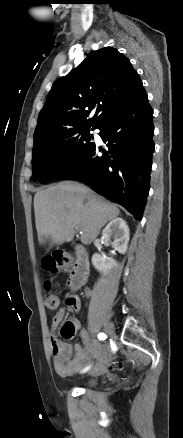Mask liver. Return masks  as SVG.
Listing matches in <instances>:
<instances>
[{"label": "liver", "instance_id": "liver-1", "mask_svg": "<svg viewBox=\"0 0 183 438\" xmlns=\"http://www.w3.org/2000/svg\"><path fill=\"white\" fill-rule=\"evenodd\" d=\"M34 211L39 242L51 238L56 245L72 241L75 229L82 232L81 242L88 245L120 213L116 205L74 181L38 191L34 196Z\"/></svg>", "mask_w": 183, "mask_h": 438}]
</instances>
